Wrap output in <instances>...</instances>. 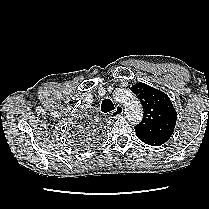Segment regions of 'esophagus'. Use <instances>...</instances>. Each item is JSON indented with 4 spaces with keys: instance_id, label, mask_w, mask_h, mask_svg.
<instances>
[{
    "instance_id": "esophagus-1",
    "label": "esophagus",
    "mask_w": 209,
    "mask_h": 209,
    "mask_svg": "<svg viewBox=\"0 0 209 209\" xmlns=\"http://www.w3.org/2000/svg\"><path fill=\"white\" fill-rule=\"evenodd\" d=\"M123 112H124L123 107L121 105H117L116 108L113 111H111L110 116L115 118L122 115Z\"/></svg>"
}]
</instances>
